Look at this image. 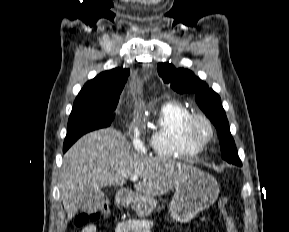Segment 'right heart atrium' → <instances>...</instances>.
Returning a JSON list of instances; mask_svg holds the SVG:
<instances>
[{"mask_svg": "<svg viewBox=\"0 0 289 232\" xmlns=\"http://www.w3.org/2000/svg\"><path fill=\"white\" fill-rule=\"evenodd\" d=\"M128 134L131 139L132 145L138 152L145 151V144L141 136V131L137 122H132L128 129Z\"/></svg>", "mask_w": 289, "mask_h": 232, "instance_id": "1", "label": "right heart atrium"}]
</instances>
